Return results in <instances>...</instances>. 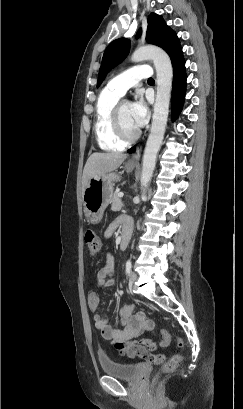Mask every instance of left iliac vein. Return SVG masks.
<instances>
[{
	"label": "left iliac vein",
	"mask_w": 243,
	"mask_h": 409,
	"mask_svg": "<svg viewBox=\"0 0 243 409\" xmlns=\"http://www.w3.org/2000/svg\"><path fill=\"white\" fill-rule=\"evenodd\" d=\"M137 280V274L134 272H131L129 275V284L133 285Z\"/></svg>",
	"instance_id": "1"
}]
</instances>
